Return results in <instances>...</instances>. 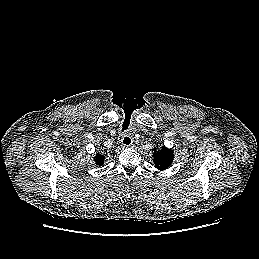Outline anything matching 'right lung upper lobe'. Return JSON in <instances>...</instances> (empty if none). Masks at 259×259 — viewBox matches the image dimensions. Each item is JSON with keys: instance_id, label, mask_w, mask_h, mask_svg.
<instances>
[{"instance_id": "obj_1", "label": "right lung upper lobe", "mask_w": 259, "mask_h": 259, "mask_svg": "<svg viewBox=\"0 0 259 259\" xmlns=\"http://www.w3.org/2000/svg\"><path fill=\"white\" fill-rule=\"evenodd\" d=\"M94 161H95V163H96L98 166L103 165V163H104V157H103V155L100 154V153H97L96 156H95Z\"/></svg>"}]
</instances>
